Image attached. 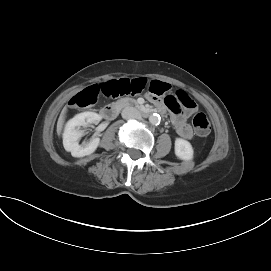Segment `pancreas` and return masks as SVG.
<instances>
[{"mask_svg":"<svg viewBox=\"0 0 271 271\" xmlns=\"http://www.w3.org/2000/svg\"><path fill=\"white\" fill-rule=\"evenodd\" d=\"M123 102H124V104H129V101H127V100H122Z\"/></svg>","mask_w":271,"mask_h":271,"instance_id":"1","label":"pancreas"}]
</instances>
